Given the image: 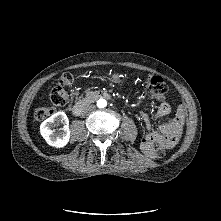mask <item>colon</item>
Returning <instances> with one entry per match:
<instances>
[{"label":"colon","mask_w":221,"mask_h":221,"mask_svg":"<svg viewBox=\"0 0 221 221\" xmlns=\"http://www.w3.org/2000/svg\"><path fill=\"white\" fill-rule=\"evenodd\" d=\"M74 83V77L70 73H64L59 81L58 85L52 90L50 94L51 107H41L35 110L34 118L37 121L44 120L53 115L57 109L67 105L69 101V95L67 88ZM146 88L150 94L156 98H162L168 90L167 84L164 79L158 75H151L146 81ZM170 147V141L164 139L159 146L155 147L152 155L155 157H163L166 154L167 148Z\"/></svg>","instance_id":"1"}]
</instances>
